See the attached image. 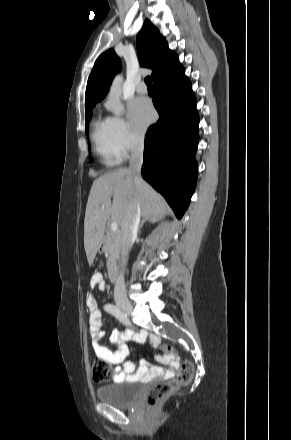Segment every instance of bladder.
Instances as JSON below:
<instances>
[{
	"instance_id": "bladder-1",
	"label": "bladder",
	"mask_w": 291,
	"mask_h": 440,
	"mask_svg": "<svg viewBox=\"0 0 291 440\" xmlns=\"http://www.w3.org/2000/svg\"><path fill=\"white\" fill-rule=\"evenodd\" d=\"M98 400L111 403L120 408L133 405L141 395L140 382L133 380H118L110 385L99 387L95 391Z\"/></svg>"
}]
</instances>
